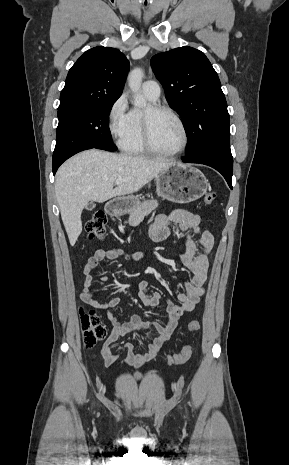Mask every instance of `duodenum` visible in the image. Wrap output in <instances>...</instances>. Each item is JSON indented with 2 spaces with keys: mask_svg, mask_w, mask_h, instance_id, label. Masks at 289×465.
Returning a JSON list of instances; mask_svg holds the SVG:
<instances>
[{
  "mask_svg": "<svg viewBox=\"0 0 289 465\" xmlns=\"http://www.w3.org/2000/svg\"><path fill=\"white\" fill-rule=\"evenodd\" d=\"M118 208L115 205H110L108 207V213L112 216H114L117 213Z\"/></svg>",
  "mask_w": 289,
  "mask_h": 465,
  "instance_id": "1",
  "label": "duodenum"
}]
</instances>
